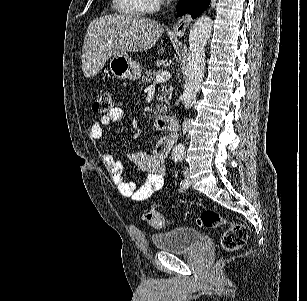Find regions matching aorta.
Masks as SVG:
<instances>
[{"mask_svg":"<svg viewBox=\"0 0 307 301\" xmlns=\"http://www.w3.org/2000/svg\"><path fill=\"white\" fill-rule=\"evenodd\" d=\"M211 16H199L189 32L188 62L185 70L184 92L182 102L184 108H192L201 88L205 70V44L212 32ZM175 151H184V146H175Z\"/></svg>","mask_w":307,"mask_h":301,"instance_id":"obj_1","label":"aorta"}]
</instances>
